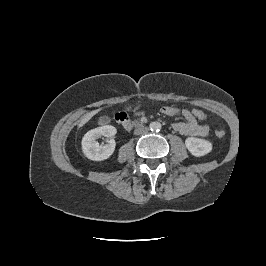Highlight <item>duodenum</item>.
Listing matches in <instances>:
<instances>
[{"mask_svg": "<svg viewBox=\"0 0 266 266\" xmlns=\"http://www.w3.org/2000/svg\"><path fill=\"white\" fill-rule=\"evenodd\" d=\"M118 123L126 131H131L132 129L138 127L140 124L137 121L129 120L126 117H117Z\"/></svg>", "mask_w": 266, "mask_h": 266, "instance_id": "obj_1", "label": "duodenum"}]
</instances>
